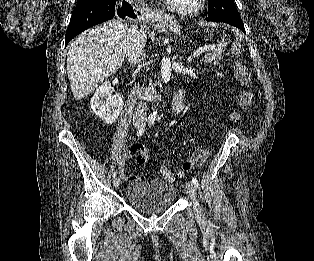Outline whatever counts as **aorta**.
Masks as SVG:
<instances>
[{"label":"aorta","instance_id":"1","mask_svg":"<svg viewBox=\"0 0 314 261\" xmlns=\"http://www.w3.org/2000/svg\"><path fill=\"white\" fill-rule=\"evenodd\" d=\"M161 75L164 83H167L171 77V61L169 57H163L161 61ZM157 112H153L155 116Z\"/></svg>","mask_w":314,"mask_h":261}]
</instances>
